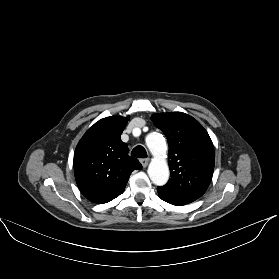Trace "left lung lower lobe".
<instances>
[{
    "label": "left lung lower lobe",
    "mask_w": 279,
    "mask_h": 279,
    "mask_svg": "<svg viewBox=\"0 0 279 279\" xmlns=\"http://www.w3.org/2000/svg\"><path fill=\"white\" fill-rule=\"evenodd\" d=\"M159 197H160L162 200H164V201H166V202H168V203H170V204L176 205V206H181V205L187 204L186 202H181V201L173 200V199H170V198H166V197H164V196H162V195H160V194H159Z\"/></svg>",
    "instance_id": "1"
}]
</instances>
